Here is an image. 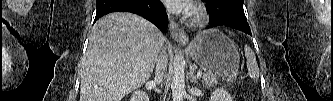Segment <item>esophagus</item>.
Masks as SVG:
<instances>
[{
    "label": "esophagus",
    "mask_w": 333,
    "mask_h": 101,
    "mask_svg": "<svg viewBox=\"0 0 333 101\" xmlns=\"http://www.w3.org/2000/svg\"><path fill=\"white\" fill-rule=\"evenodd\" d=\"M171 36L182 45H186L189 41L188 35L181 30L174 19H171L169 26Z\"/></svg>",
    "instance_id": "34e87169"
}]
</instances>
